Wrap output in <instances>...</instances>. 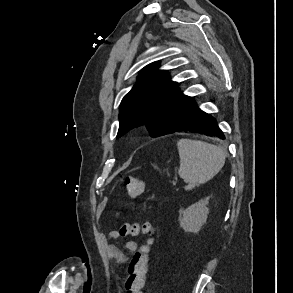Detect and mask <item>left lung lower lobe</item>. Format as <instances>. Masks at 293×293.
I'll use <instances>...</instances> for the list:
<instances>
[{"instance_id": "0a47b994", "label": "left lung lower lobe", "mask_w": 293, "mask_h": 293, "mask_svg": "<svg viewBox=\"0 0 293 293\" xmlns=\"http://www.w3.org/2000/svg\"><path fill=\"white\" fill-rule=\"evenodd\" d=\"M174 132H199L209 136H216L224 139L216 120L200 110L195 102H192L184 111L180 121L173 128Z\"/></svg>"}]
</instances>
